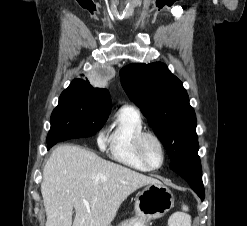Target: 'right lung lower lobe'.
<instances>
[{"instance_id":"1","label":"right lung lower lobe","mask_w":247,"mask_h":226,"mask_svg":"<svg viewBox=\"0 0 247 226\" xmlns=\"http://www.w3.org/2000/svg\"><path fill=\"white\" fill-rule=\"evenodd\" d=\"M54 144H56V143H54V142L48 143L49 147H52Z\"/></svg>"}]
</instances>
